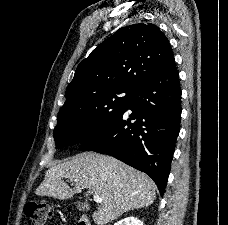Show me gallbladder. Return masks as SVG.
I'll return each mask as SVG.
<instances>
[{"label":"gallbladder","instance_id":"bac80fb5","mask_svg":"<svg viewBox=\"0 0 228 225\" xmlns=\"http://www.w3.org/2000/svg\"><path fill=\"white\" fill-rule=\"evenodd\" d=\"M74 205L78 211H84V205L83 203H80V201H77V203H74Z\"/></svg>","mask_w":228,"mask_h":225}]
</instances>
